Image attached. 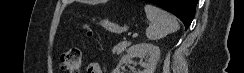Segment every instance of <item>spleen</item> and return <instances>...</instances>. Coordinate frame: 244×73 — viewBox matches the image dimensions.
Here are the masks:
<instances>
[{
	"label": "spleen",
	"mask_w": 244,
	"mask_h": 73,
	"mask_svg": "<svg viewBox=\"0 0 244 73\" xmlns=\"http://www.w3.org/2000/svg\"><path fill=\"white\" fill-rule=\"evenodd\" d=\"M144 10L150 21V25L146 29V36L149 40H158L179 30L180 26L176 18L170 13L151 4H146Z\"/></svg>",
	"instance_id": "obj_1"
}]
</instances>
